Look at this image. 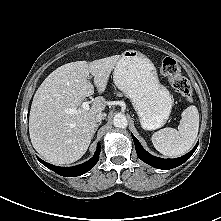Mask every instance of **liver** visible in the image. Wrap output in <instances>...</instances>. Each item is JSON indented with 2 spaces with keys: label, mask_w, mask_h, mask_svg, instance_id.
<instances>
[{
  "label": "liver",
  "mask_w": 221,
  "mask_h": 221,
  "mask_svg": "<svg viewBox=\"0 0 221 221\" xmlns=\"http://www.w3.org/2000/svg\"><path fill=\"white\" fill-rule=\"evenodd\" d=\"M119 55L92 62L76 61L54 70L36 91L29 116V134L34 149L55 165L70 164L87 151L97 122L105 109V99L97 97L89 110H82L84 98L105 91ZM94 76V85L89 80ZM79 109L69 114L66 109Z\"/></svg>",
  "instance_id": "obj_1"
}]
</instances>
